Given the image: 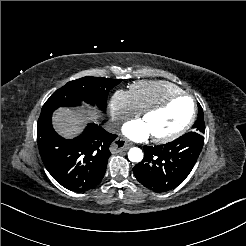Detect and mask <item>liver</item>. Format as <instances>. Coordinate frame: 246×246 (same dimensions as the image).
Instances as JSON below:
<instances>
[{
    "instance_id": "6515ba94",
    "label": "liver",
    "mask_w": 246,
    "mask_h": 246,
    "mask_svg": "<svg viewBox=\"0 0 246 246\" xmlns=\"http://www.w3.org/2000/svg\"><path fill=\"white\" fill-rule=\"evenodd\" d=\"M88 116L85 117L82 110L60 108L54 114L53 124L59 134L66 138H73L81 132L85 120L96 122L100 114L96 111H88Z\"/></svg>"
}]
</instances>
